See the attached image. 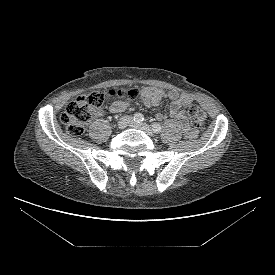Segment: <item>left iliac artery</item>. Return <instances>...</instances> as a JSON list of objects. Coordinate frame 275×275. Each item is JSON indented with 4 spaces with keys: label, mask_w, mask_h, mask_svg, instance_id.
<instances>
[{
    "label": "left iliac artery",
    "mask_w": 275,
    "mask_h": 275,
    "mask_svg": "<svg viewBox=\"0 0 275 275\" xmlns=\"http://www.w3.org/2000/svg\"><path fill=\"white\" fill-rule=\"evenodd\" d=\"M152 129L155 133H160L161 132V125L158 123H153L152 124Z\"/></svg>",
    "instance_id": "obj_1"
}]
</instances>
